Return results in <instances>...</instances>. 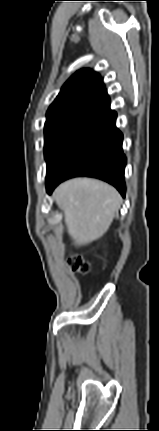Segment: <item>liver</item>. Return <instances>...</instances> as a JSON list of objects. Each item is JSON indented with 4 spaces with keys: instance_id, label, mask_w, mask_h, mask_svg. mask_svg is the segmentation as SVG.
Masks as SVG:
<instances>
[{
    "instance_id": "6515ba94",
    "label": "liver",
    "mask_w": 159,
    "mask_h": 431,
    "mask_svg": "<svg viewBox=\"0 0 159 431\" xmlns=\"http://www.w3.org/2000/svg\"><path fill=\"white\" fill-rule=\"evenodd\" d=\"M53 198L64 212L68 234L76 246L101 238L121 205V197L114 187L89 178H76L61 184Z\"/></svg>"
}]
</instances>
